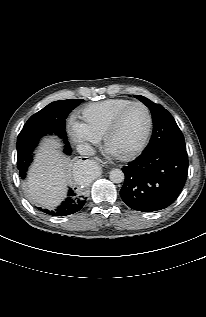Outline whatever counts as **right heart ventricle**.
<instances>
[{"label": "right heart ventricle", "instance_id": "1", "mask_svg": "<svg viewBox=\"0 0 206 317\" xmlns=\"http://www.w3.org/2000/svg\"><path fill=\"white\" fill-rule=\"evenodd\" d=\"M133 101L117 98L87 105L81 110L82 124L97 139L101 138L114 116Z\"/></svg>", "mask_w": 206, "mask_h": 317}]
</instances>
